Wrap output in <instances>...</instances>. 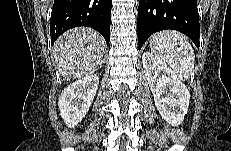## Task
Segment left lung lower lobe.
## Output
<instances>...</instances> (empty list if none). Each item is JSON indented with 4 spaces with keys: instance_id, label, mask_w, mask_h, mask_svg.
<instances>
[{
    "instance_id": "1",
    "label": "left lung lower lobe",
    "mask_w": 231,
    "mask_h": 151,
    "mask_svg": "<svg viewBox=\"0 0 231 151\" xmlns=\"http://www.w3.org/2000/svg\"><path fill=\"white\" fill-rule=\"evenodd\" d=\"M166 29L184 33L199 48L197 0H140L138 49H141L151 34Z\"/></svg>"
}]
</instances>
